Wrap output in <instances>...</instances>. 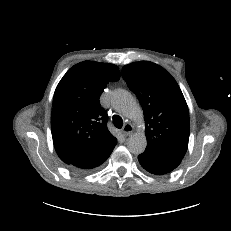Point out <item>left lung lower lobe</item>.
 Listing matches in <instances>:
<instances>
[{"label": "left lung lower lobe", "mask_w": 231, "mask_h": 231, "mask_svg": "<svg viewBox=\"0 0 231 231\" xmlns=\"http://www.w3.org/2000/svg\"><path fill=\"white\" fill-rule=\"evenodd\" d=\"M139 163L148 172L163 175L175 169L182 159H173L152 152L144 151L138 156Z\"/></svg>", "instance_id": "0a47b994"}]
</instances>
